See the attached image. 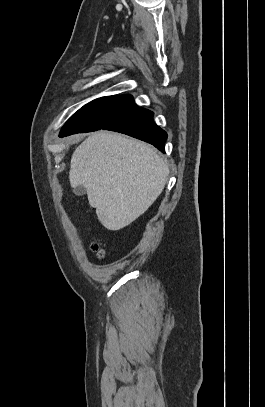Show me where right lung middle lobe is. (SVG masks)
I'll use <instances>...</instances> for the list:
<instances>
[{"mask_svg": "<svg viewBox=\"0 0 265 407\" xmlns=\"http://www.w3.org/2000/svg\"><path fill=\"white\" fill-rule=\"evenodd\" d=\"M137 108L131 95L98 98L73 114L59 136L103 129Z\"/></svg>", "mask_w": 265, "mask_h": 407, "instance_id": "dd1d6c3e", "label": "right lung middle lobe"}]
</instances>
